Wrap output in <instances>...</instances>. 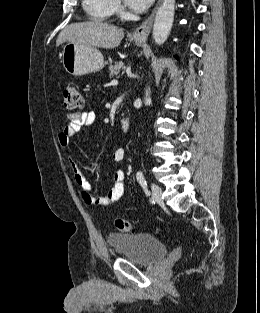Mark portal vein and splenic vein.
<instances>
[{
  "mask_svg": "<svg viewBox=\"0 0 260 313\" xmlns=\"http://www.w3.org/2000/svg\"><path fill=\"white\" fill-rule=\"evenodd\" d=\"M117 83H118L117 80H112V81H111V84H112V85H116Z\"/></svg>",
  "mask_w": 260,
  "mask_h": 313,
  "instance_id": "portal-vein-and-splenic-vein-1",
  "label": "portal vein and splenic vein"
}]
</instances>
